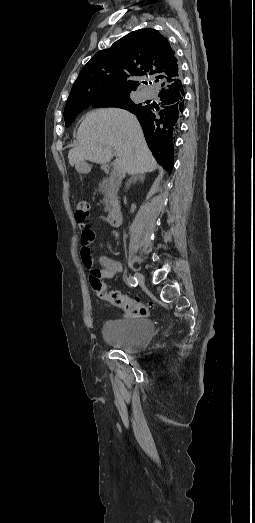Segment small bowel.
Masks as SVG:
<instances>
[{
	"instance_id": "small-bowel-1",
	"label": "small bowel",
	"mask_w": 255,
	"mask_h": 523,
	"mask_svg": "<svg viewBox=\"0 0 255 523\" xmlns=\"http://www.w3.org/2000/svg\"><path fill=\"white\" fill-rule=\"evenodd\" d=\"M81 227V243L80 257L83 265L91 273H96L99 278L112 279L117 273L123 270L122 264L106 255L99 258V268H93L92 258L89 250V245L95 239V232L87 225V223L80 224Z\"/></svg>"
}]
</instances>
